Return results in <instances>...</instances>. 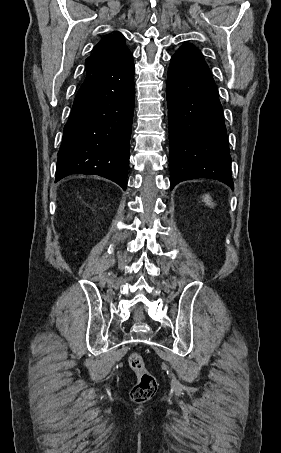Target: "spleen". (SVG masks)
Returning <instances> with one entry per match:
<instances>
[{
	"label": "spleen",
	"mask_w": 281,
	"mask_h": 453,
	"mask_svg": "<svg viewBox=\"0 0 281 453\" xmlns=\"http://www.w3.org/2000/svg\"><path fill=\"white\" fill-rule=\"evenodd\" d=\"M204 202H207L209 206H214V202H211L209 194H206V196H204Z\"/></svg>",
	"instance_id": "3e777b00"
}]
</instances>
